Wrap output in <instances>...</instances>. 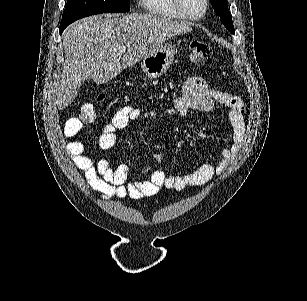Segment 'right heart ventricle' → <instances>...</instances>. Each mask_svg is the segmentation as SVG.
<instances>
[{
	"label": "right heart ventricle",
	"instance_id": "1",
	"mask_svg": "<svg viewBox=\"0 0 307 301\" xmlns=\"http://www.w3.org/2000/svg\"><path fill=\"white\" fill-rule=\"evenodd\" d=\"M145 10L152 17H179V10L172 9L173 0H142Z\"/></svg>",
	"mask_w": 307,
	"mask_h": 301
}]
</instances>
